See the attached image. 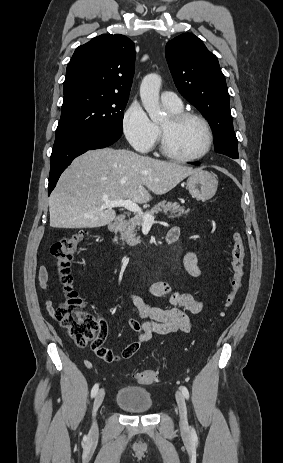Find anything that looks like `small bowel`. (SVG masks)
Instances as JSON below:
<instances>
[{
    "mask_svg": "<svg viewBox=\"0 0 283 463\" xmlns=\"http://www.w3.org/2000/svg\"><path fill=\"white\" fill-rule=\"evenodd\" d=\"M169 233L174 234L178 239L180 228L175 226L170 229ZM183 264L190 276L198 278L202 275L195 251L191 250L185 254ZM48 278V271L45 268H41L38 273V279L43 289L46 288ZM149 294L152 298L168 299L170 306L155 307L134 293L127 294V298L137 309L141 321L137 319H130L128 321V327L136 333V337L122 350L121 359L131 358L153 335L166 336L175 332L189 333L192 329V322L188 313L198 314L203 307L201 300L195 298L192 294L174 290L166 282L153 283ZM47 308L50 312L54 311L49 301H47ZM85 363L87 366H90L88 361H85Z\"/></svg>",
    "mask_w": 283,
    "mask_h": 463,
    "instance_id": "small-bowel-1",
    "label": "small bowel"
}]
</instances>
